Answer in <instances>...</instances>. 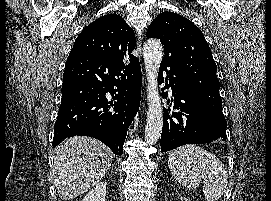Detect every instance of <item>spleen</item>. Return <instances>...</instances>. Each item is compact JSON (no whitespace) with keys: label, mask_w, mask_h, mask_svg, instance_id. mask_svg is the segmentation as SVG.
<instances>
[{"label":"spleen","mask_w":271,"mask_h":201,"mask_svg":"<svg viewBox=\"0 0 271 201\" xmlns=\"http://www.w3.org/2000/svg\"><path fill=\"white\" fill-rule=\"evenodd\" d=\"M168 166L176 180L188 189H196L203 179L207 201H217L227 188L223 162L198 145L187 144L173 150L168 156Z\"/></svg>","instance_id":"1"}]
</instances>
